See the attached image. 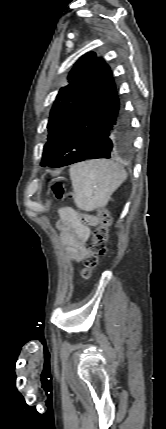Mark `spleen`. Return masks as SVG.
Instances as JSON below:
<instances>
[{
	"mask_svg": "<svg viewBox=\"0 0 166 429\" xmlns=\"http://www.w3.org/2000/svg\"><path fill=\"white\" fill-rule=\"evenodd\" d=\"M75 205L85 211L104 208L127 178L122 165L112 160H88L70 167Z\"/></svg>",
	"mask_w": 166,
	"mask_h": 429,
	"instance_id": "1",
	"label": "spleen"
}]
</instances>
